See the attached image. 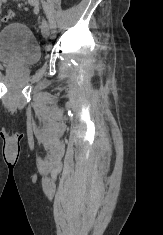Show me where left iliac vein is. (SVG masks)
Wrapping results in <instances>:
<instances>
[{
    "label": "left iliac vein",
    "instance_id": "left-iliac-vein-1",
    "mask_svg": "<svg viewBox=\"0 0 163 235\" xmlns=\"http://www.w3.org/2000/svg\"><path fill=\"white\" fill-rule=\"evenodd\" d=\"M28 2L35 7H39L40 5L39 0H28ZM41 32L45 38H47L50 34V26L45 19H43L41 23Z\"/></svg>",
    "mask_w": 163,
    "mask_h": 235
}]
</instances>
